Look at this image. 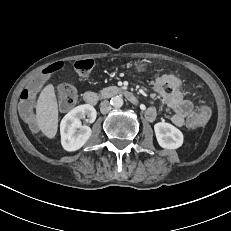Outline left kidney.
<instances>
[{
    "label": "left kidney",
    "instance_id": "left-kidney-1",
    "mask_svg": "<svg viewBox=\"0 0 231 231\" xmlns=\"http://www.w3.org/2000/svg\"><path fill=\"white\" fill-rule=\"evenodd\" d=\"M154 131L158 144L164 149H177L183 144L182 132L170 123H156Z\"/></svg>",
    "mask_w": 231,
    "mask_h": 231
}]
</instances>
